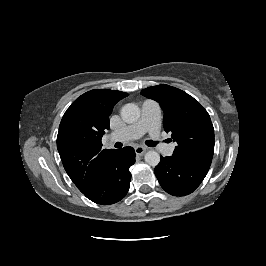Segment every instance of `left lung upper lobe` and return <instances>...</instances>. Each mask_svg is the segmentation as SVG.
<instances>
[{"label":"left lung upper lobe","mask_w":266,"mask_h":266,"mask_svg":"<svg viewBox=\"0 0 266 266\" xmlns=\"http://www.w3.org/2000/svg\"><path fill=\"white\" fill-rule=\"evenodd\" d=\"M159 102L164 111L163 125L177 143L173 157L182 162L211 164L214 152V128L207 111L186 92L168 85L141 91Z\"/></svg>","instance_id":"1"}]
</instances>
